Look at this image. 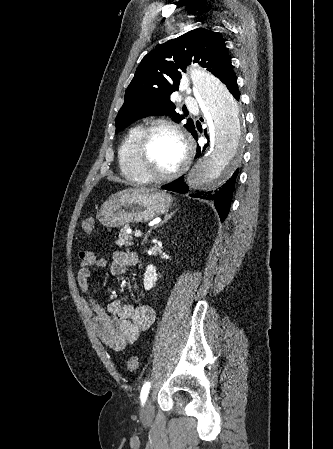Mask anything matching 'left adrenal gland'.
<instances>
[{"label": "left adrenal gland", "instance_id": "1", "mask_svg": "<svg viewBox=\"0 0 333 449\" xmlns=\"http://www.w3.org/2000/svg\"><path fill=\"white\" fill-rule=\"evenodd\" d=\"M177 211H178V209L170 212L169 214H166L165 217H164V220L160 223V225L166 224L168 222V220H170ZM150 233H151V229L145 235L142 244H144L146 242V240H147V238H148Z\"/></svg>", "mask_w": 333, "mask_h": 449}]
</instances>
